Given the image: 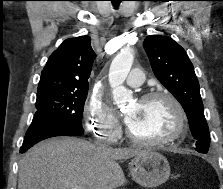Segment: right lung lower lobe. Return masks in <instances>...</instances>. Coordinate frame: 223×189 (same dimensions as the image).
I'll use <instances>...</instances> for the list:
<instances>
[{"mask_svg":"<svg viewBox=\"0 0 223 189\" xmlns=\"http://www.w3.org/2000/svg\"><path fill=\"white\" fill-rule=\"evenodd\" d=\"M84 131L76 130L70 125L57 121L33 119L25 134L20 153L26 152L34 144L55 136H80Z\"/></svg>","mask_w":223,"mask_h":189,"instance_id":"98d812e1","label":"right lung lower lobe"}]
</instances>
